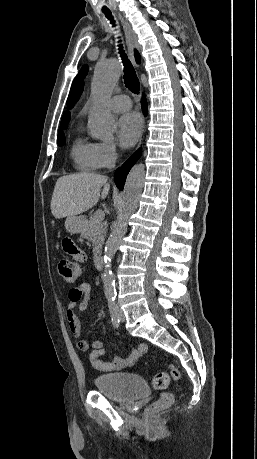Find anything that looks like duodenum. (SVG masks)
<instances>
[{"instance_id": "duodenum-1", "label": "duodenum", "mask_w": 257, "mask_h": 459, "mask_svg": "<svg viewBox=\"0 0 257 459\" xmlns=\"http://www.w3.org/2000/svg\"><path fill=\"white\" fill-rule=\"evenodd\" d=\"M103 264H104V261H103V257L101 254H97L95 256V266L97 269H101L103 268Z\"/></svg>"}]
</instances>
